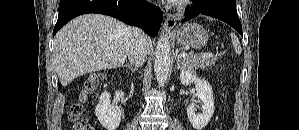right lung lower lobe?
Masks as SVG:
<instances>
[{
    "instance_id": "1",
    "label": "right lung lower lobe",
    "mask_w": 299,
    "mask_h": 130,
    "mask_svg": "<svg viewBox=\"0 0 299 130\" xmlns=\"http://www.w3.org/2000/svg\"><path fill=\"white\" fill-rule=\"evenodd\" d=\"M86 13L112 16L142 28L152 37L158 34L163 20L160 9L145 0H61L53 36L72 18Z\"/></svg>"
}]
</instances>
